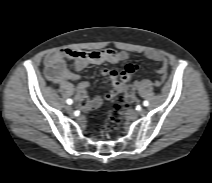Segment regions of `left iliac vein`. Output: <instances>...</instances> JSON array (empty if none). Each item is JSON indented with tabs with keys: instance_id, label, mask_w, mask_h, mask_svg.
Instances as JSON below:
<instances>
[{
	"instance_id": "1",
	"label": "left iliac vein",
	"mask_w": 212,
	"mask_h": 183,
	"mask_svg": "<svg viewBox=\"0 0 212 183\" xmlns=\"http://www.w3.org/2000/svg\"><path fill=\"white\" fill-rule=\"evenodd\" d=\"M144 112H145V110H144V109H141V110L138 112V114L143 115Z\"/></svg>"
}]
</instances>
